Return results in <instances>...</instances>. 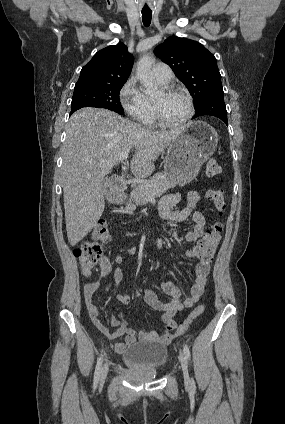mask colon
Wrapping results in <instances>:
<instances>
[{"label": "colon", "instance_id": "obj_1", "mask_svg": "<svg viewBox=\"0 0 285 424\" xmlns=\"http://www.w3.org/2000/svg\"><path fill=\"white\" fill-rule=\"evenodd\" d=\"M221 172V165L215 158L207 161L205 174L207 177H215ZM207 197L211 205L222 215L226 209V195L223 190H209ZM223 225L215 222L206 232L205 237L195 247V255L199 258L210 260L216 253L221 240ZM92 240L86 241L74 250L75 257L79 260L82 271L88 275L98 264L105 261L106 254L102 247V243L110 240V229L105 221H99L93 231ZM204 312V306L196 307L186 321L179 327L178 332L184 333L191 323Z\"/></svg>", "mask_w": 285, "mask_h": 424}]
</instances>
